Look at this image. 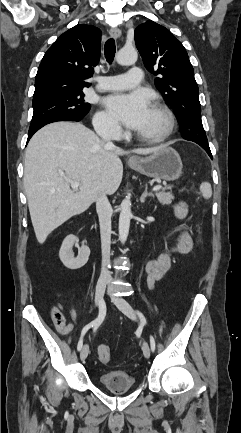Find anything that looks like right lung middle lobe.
<instances>
[{"instance_id": "obj_1", "label": "right lung middle lobe", "mask_w": 241, "mask_h": 433, "mask_svg": "<svg viewBox=\"0 0 241 433\" xmlns=\"http://www.w3.org/2000/svg\"><path fill=\"white\" fill-rule=\"evenodd\" d=\"M83 96V92H53L33 97L29 132L63 117L83 118L90 109Z\"/></svg>"}]
</instances>
